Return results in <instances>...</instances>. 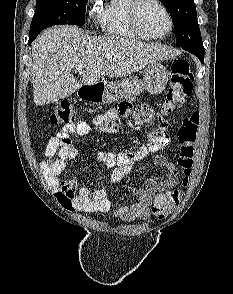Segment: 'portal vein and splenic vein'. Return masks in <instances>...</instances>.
<instances>
[{
  "label": "portal vein and splenic vein",
  "mask_w": 233,
  "mask_h": 294,
  "mask_svg": "<svg viewBox=\"0 0 233 294\" xmlns=\"http://www.w3.org/2000/svg\"><path fill=\"white\" fill-rule=\"evenodd\" d=\"M84 65L83 64H78L75 66V69H77L78 71H81L83 69Z\"/></svg>",
  "instance_id": "portal-vein-and-splenic-vein-1"
}]
</instances>
